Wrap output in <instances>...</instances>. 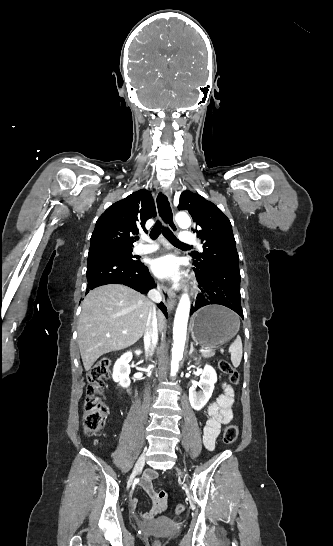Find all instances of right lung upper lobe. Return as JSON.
<instances>
[{"label": "right lung upper lobe", "instance_id": "obj_1", "mask_svg": "<svg viewBox=\"0 0 333 546\" xmlns=\"http://www.w3.org/2000/svg\"><path fill=\"white\" fill-rule=\"evenodd\" d=\"M156 216L153 197L139 190L112 204L97 220L90 239L89 252L107 247H133L138 227Z\"/></svg>", "mask_w": 333, "mask_h": 546}]
</instances>
